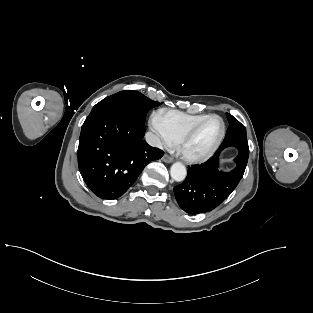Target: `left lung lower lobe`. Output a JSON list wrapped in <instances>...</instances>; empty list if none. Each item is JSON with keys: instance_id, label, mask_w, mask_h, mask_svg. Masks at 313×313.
Instances as JSON below:
<instances>
[{"instance_id": "0a47b994", "label": "left lung lower lobe", "mask_w": 313, "mask_h": 313, "mask_svg": "<svg viewBox=\"0 0 313 313\" xmlns=\"http://www.w3.org/2000/svg\"><path fill=\"white\" fill-rule=\"evenodd\" d=\"M228 147H235L238 156L236 168L230 172L219 170V157ZM249 156L246 138L235 137L225 140L216 153L201 165L188 168L183 183L174 187L179 206L189 214L206 213L219 206L235 189L243 177Z\"/></svg>"}]
</instances>
